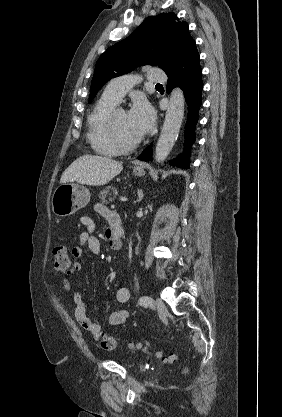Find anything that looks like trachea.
<instances>
[{"instance_id": "3493384b", "label": "trachea", "mask_w": 282, "mask_h": 417, "mask_svg": "<svg viewBox=\"0 0 282 417\" xmlns=\"http://www.w3.org/2000/svg\"><path fill=\"white\" fill-rule=\"evenodd\" d=\"M161 85V83H157L156 86Z\"/></svg>"}]
</instances>
